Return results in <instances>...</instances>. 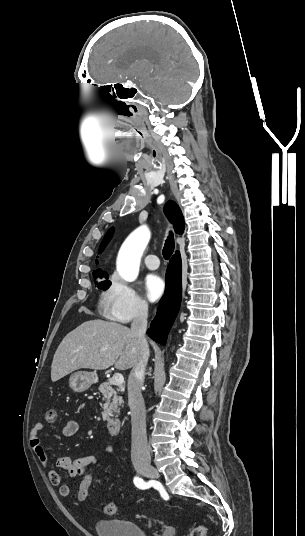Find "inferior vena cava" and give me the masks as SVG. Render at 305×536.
<instances>
[{"mask_svg":"<svg viewBox=\"0 0 305 536\" xmlns=\"http://www.w3.org/2000/svg\"><path fill=\"white\" fill-rule=\"evenodd\" d=\"M148 318V306L142 304L137 308V312L131 324V332L140 340L142 344L141 358L130 372L128 378V404L131 410L132 424V450L131 456L134 460L150 462V452L147 444L146 434V410L141 394L144 382V372L149 358V346L145 340Z\"/></svg>","mask_w":305,"mask_h":536,"instance_id":"1","label":"inferior vena cava"}]
</instances>
